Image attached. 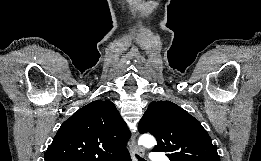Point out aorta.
Masks as SVG:
<instances>
[{
    "label": "aorta",
    "instance_id": "1",
    "mask_svg": "<svg viewBox=\"0 0 261 161\" xmlns=\"http://www.w3.org/2000/svg\"><path fill=\"white\" fill-rule=\"evenodd\" d=\"M139 144L146 148H152L154 145H156V141L153 136L144 134L139 138Z\"/></svg>",
    "mask_w": 261,
    "mask_h": 161
}]
</instances>
